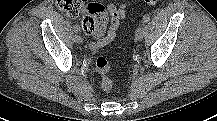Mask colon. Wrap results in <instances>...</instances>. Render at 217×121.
<instances>
[{"label":"colon","mask_w":217,"mask_h":121,"mask_svg":"<svg viewBox=\"0 0 217 121\" xmlns=\"http://www.w3.org/2000/svg\"><path fill=\"white\" fill-rule=\"evenodd\" d=\"M149 5L156 4L159 0H144ZM57 8L69 16H77L84 13L81 26L86 34L102 32L107 24L108 16L105 7L98 2L88 0H56ZM96 69L101 76V87L110 91L113 81L110 77L111 67L108 60L100 56L96 59Z\"/></svg>","instance_id":"obj_1"}]
</instances>
